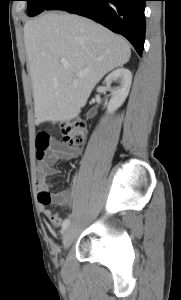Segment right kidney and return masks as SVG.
I'll use <instances>...</instances> for the list:
<instances>
[{"instance_id":"obj_1","label":"right kidney","mask_w":181,"mask_h":300,"mask_svg":"<svg viewBox=\"0 0 181 300\" xmlns=\"http://www.w3.org/2000/svg\"><path fill=\"white\" fill-rule=\"evenodd\" d=\"M118 81L119 86L111 88V83ZM132 82V74L126 68H118L112 71L106 78L105 84L107 89L111 91L112 98L110 99L107 107V113H114L125 101L129 94Z\"/></svg>"}]
</instances>
